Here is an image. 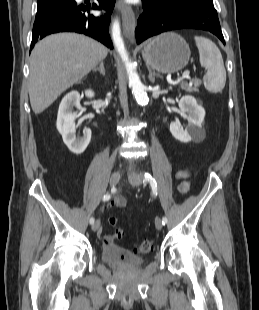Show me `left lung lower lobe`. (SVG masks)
<instances>
[{
    "instance_id": "0a47b994",
    "label": "left lung lower lobe",
    "mask_w": 259,
    "mask_h": 310,
    "mask_svg": "<svg viewBox=\"0 0 259 310\" xmlns=\"http://www.w3.org/2000/svg\"><path fill=\"white\" fill-rule=\"evenodd\" d=\"M142 5L144 11L135 30L137 43L162 32L195 28L210 31L225 44L217 11L211 3L196 2L168 8L142 0Z\"/></svg>"
}]
</instances>
